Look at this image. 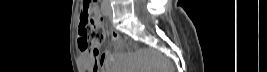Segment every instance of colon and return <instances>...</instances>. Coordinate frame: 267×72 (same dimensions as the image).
I'll return each instance as SVG.
<instances>
[{"mask_svg": "<svg viewBox=\"0 0 267 72\" xmlns=\"http://www.w3.org/2000/svg\"><path fill=\"white\" fill-rule=\"evenodd\" d=\"M96 1L84 0L79 22V47L83 52L94 53L105 39L104 31L97 25L98 15L94 4ZM164 72H172L173 68L164 62Z\"/></svg>", "mask_w": 267, "mask_h": 72, "instance_id": "colon-1", "label": "colon"}]
</instances>
